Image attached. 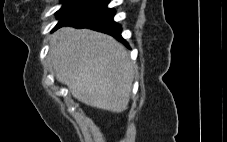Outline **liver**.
<instances>
[{"label": "liver", "instance_id": "6515ba94", "mask_svg": "<svg viewBox=\"0 0 227 142\" xmlns=\"http://www.w3.org/2000/svg\"><path fill=\"white\" fill-rule=\"evenodd\" d=\"M49 56L57 81L74 98L111 112L126 110L135 70L125 47L113 37L63 27L51 38Z\"/></svg>", "mask_w": 227, "mask_h": 142}]
</instances>
